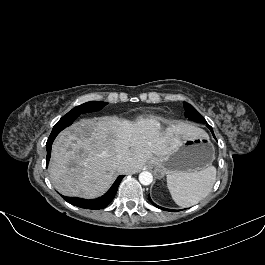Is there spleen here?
<instances>
[{"instance_id": "obj_1", "label": "spleen", "mask_w": 265, "mask_h": 265, "mask_svg": "<svg viewBox=\"0 0 265 265\" xmlns=\"http://www.w3.org/2000/svg\"><path fill=\"white\" fill-rule=\"evenodd\" d=\"M216 181V168L208 166L197 172H181L167 176V187L175 203L190 207L205 198Z\"/></svg>"}]
</instances>
